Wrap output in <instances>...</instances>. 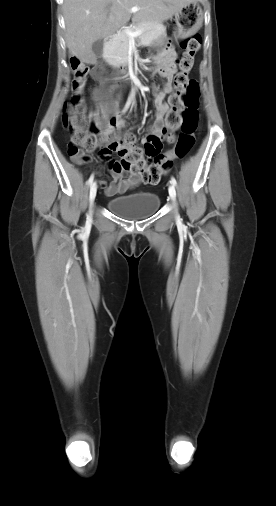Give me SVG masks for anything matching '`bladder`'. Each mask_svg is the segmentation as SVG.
<instances>
[{"label":"bladder","instance_id":"1","mask_svg":"<svg viewBox=\"0 0 276 506\" xmlns=\"http://www.w3.org/2000/svg\"><path fill=\"white\" fill-rule=\"evenodd\" d=\"M107 207L116 215L127 219H140L154 214L160 207V197L149 191H137L110 198Z\"/></svg>","mask_w":276,"mask_h":506}]
</instances>
